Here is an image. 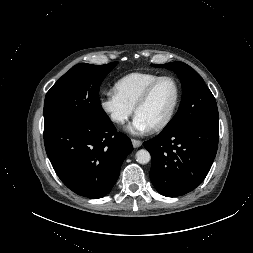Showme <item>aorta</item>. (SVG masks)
Wrapping results in <instances>:
<instances>
[{"label":"aorta","mask_w":253,"mask_h":253,"mask_svg":"<svg viewBox=\"0 0 253 253\" xmlns=\"http://www.w3.org/2000/svg\"><path fill=\"white\" fill-rule=\"evenodd\" d=\"M151 160L150 153L146 149H141L136 153V161L140 164H147Z\"/></svg>","instance_id":"aorta-1"}]
</instances>
